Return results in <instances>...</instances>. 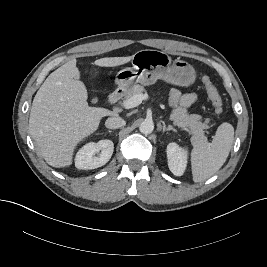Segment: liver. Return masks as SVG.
<instances>
[{
    "instance_id": "liver-1",
    "label": "liver",
    "mask_w": 267,
    "mask_h": 267,
    "mask_svg": "<svg viewBox=\"0 0 267 267\" xmlns=\"http://www.w3.org/2000/svg\"><path fill=\"white\" fill-rule=\"evenodd\" d=\"M130 57H109L95 61L100 67H116ZM75 59L52 72L37 91L29 117V131L45 161L61 168L72 164L79 142L94 133L105 116V108L90 107L85 84Z\"/></svg>"
}]
</instances>
